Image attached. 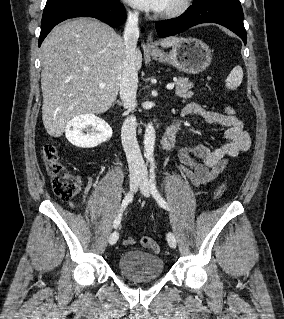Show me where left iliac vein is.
Here are the masks:
<instances>
[{
  "mask_svg": "<svg viewBox=\"0 0 284 319\" xmlns=\"http://www.w3.org/2000/svg\"><path fill=\"white\" fill-rule=\"evenodd\" d=\"M139 187H140L141 193L145 197H149L150 185H149L147 170L145 167H143L141 174H140ZM167 241H168V244L171 248H176L177 240H176L175 235L172 232H169L167 234Z\"/></svg>",
  "mask_w": 284,
  "mask_h": 319,
  "instance_id": "left-iliac-vein-1",
  "label": "left iliac vein"
}]
</instances>
